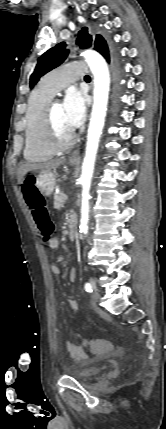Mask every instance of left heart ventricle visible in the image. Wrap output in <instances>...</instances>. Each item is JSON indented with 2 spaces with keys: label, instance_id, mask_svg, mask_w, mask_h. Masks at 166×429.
<instances>
[{
  "label": "left heart ventricle",
  "instance_id": "left-heart-ventricle-1",
  "mask_svg": "<svg viewBox=\"0 0 166 429\" xmlns=\"http://www.w3.org/2000/svg\"><path fill=\"white\" fill-rule=\"evenodd\" d=\"M53 124L59 139H66L73 131L66 123L61 103H56L52 109Z\"/></svg>",
  "mask_w": 166,
  "mask_h": 429
}]
</instances>
